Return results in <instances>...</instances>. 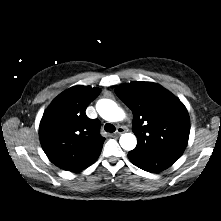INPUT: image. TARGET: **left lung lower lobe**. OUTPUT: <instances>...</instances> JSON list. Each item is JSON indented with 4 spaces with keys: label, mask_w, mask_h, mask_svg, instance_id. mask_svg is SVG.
Returning a JSON list of instances; mask_svg holds the SVG:
<instances>
[{
    "label": "left lung lower lobe",
    "mask_w": 221,
    "mask_h": 221,
    "mask_svg": "<svg viewBox=\"0 0 221 221\" xmlns=\"http://www.w3.org/2000/svg\"><path fill=\"white\" fill-rule=\"evenodd\" d=\"M128 157L134 165L151 173L167 169L180 158L179 155L171 153L147 152L135 149L128 153Z\"/></svg>",
    "instance_id": "obj_1"
}]
</instances>
